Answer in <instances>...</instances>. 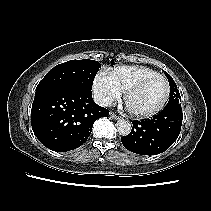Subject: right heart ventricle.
I'll return each mask as SVG.
<instances>
[{
    "mask_svg": "<svg viewBox=\"0 0 211 211\" xmlns=\"http://www.w3.org/2000/svg\"><path fill=\"white\" fill-rule=\"evenodd\" d=\"M110 73L122 92L145 77L159 74L151 68L138 65L119 66Z\"/></svg>",
    "mask_w": 211,
    "mask_h": 211,
    "instance_id": "obj_1",
    "label": "right heart ventricle"
}]
</instances>
